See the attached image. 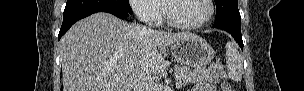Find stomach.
<instances>
[{
    "label": "stomach",
    "instance_id": "obj_1",
    "mask_svg": "<svg viewBox=\"0 0 304 91\" xmlns=\"http://www.w3.org/2000/svg\"><path fill=\"white\" fill-rule=\"evenodd\" d=\"M174 58L180 64L195 69H202L214 58L215 51L198 36L186 37L171 46Z\"/></svg>",
    "mask_w": 304,
    "mask_h": 91
}]
</instances>
